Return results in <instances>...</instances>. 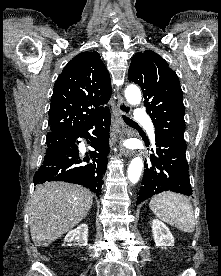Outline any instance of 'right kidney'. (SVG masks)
<instances>
[{"label": "right kidney", "instance_id": "obj_1", "mask_svg": "<svg viewBox=\"0 0 221 276\" xmlns=\"http://www.w3.org/2000/svg\"><path fill=\"white\" fill-rule=\"evenodd\" d=\"M77 242L79 246H86L88 241V225L83 223L76 229L69 231L65 236L64 244L71 246V242Z\"/></svg>", "mask_w": 221, "mask_h": 276}]
</instances>
